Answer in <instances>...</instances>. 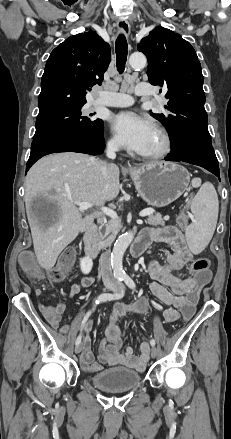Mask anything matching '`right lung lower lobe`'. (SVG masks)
Wrapping results in <instances>:
<instances>
[{
    "instance_id": "98d812e1",
    "label": "right lung lower lobe",
    "mask_w": 231,
    "mask_h": 439,
    "mask_svg": "<svg viewBox=\"0 0 231 439\" xmlns=\"http://www.w3.org/2000/svg\"><path fill=\"white\" fill-rule=\"evenodd\" d=\"M104 149L103 131L89 135L55 134L35 139L31 145V153L26 171L41 157L57 152H79L91 155L102 153Z\"/></svg>"
}]
</instances>
